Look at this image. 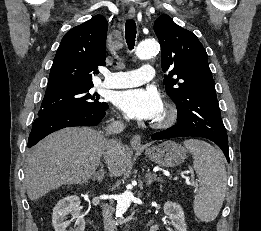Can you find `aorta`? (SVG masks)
<instances>
[{"label": "aorta", "mask_w": 261, "mask_h": 231, "mask_svg": "<svg viewBox=\"0 0 261 231\" xmlns=\"http://www.w3.org/2000/svg\"><path fill=\"white\" fill-rule=\"evenodd\" d=\"M159 51V45L155 40H145L138 44L135 54L139 59H149ZM133 193L130 190L123 192L117 201L116 216L121 217L129 208Z\"/></svg>", "instance_id": "obj_1"}]
</instances>
